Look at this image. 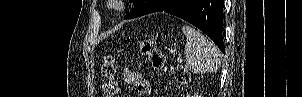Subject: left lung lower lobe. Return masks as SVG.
I'll list each match as a JSON object with an SVG mask.
<instances>
[{"label":"left lung lower lobe","instance_id":"1","mask_svg":"<svg viewBox=\"0 0 302 97\" xmlns=\"http://www.w3.org/2000/svg\"><path fill=\"white\" fill-rule=\"evenodd\" d=\"M224 0H149L141 11L128 14L125 19L153 12H167L193 24L207 34L225 53L222 38Z\"/></svg>","mask_w":302,"mask_h":97}]
</instances>
